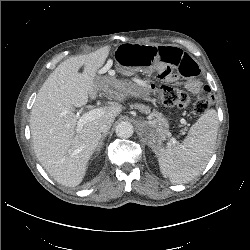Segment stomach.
Masks as SVG:
<instances>
[{
    "instance_id": "1",
    "label": "stomach",
    "mask_w": 250,
    "mask_h": 250,
    "mask_svg": "<svg viewBox=\"0 0 250 250\" xmlns=\"http://www.w3.org/2000/svg\"><path fill=\"white\" fill-rule=\"evenodd\" d=\"M97 89L98 91H103L114 98H121L127 94L139 97L142 95H148L149 93L148 88L146 86H140V87L129 86L126 88L124 86H121L118 83V81L114 78H98Z\"/></svg>"
}]
</instances>
